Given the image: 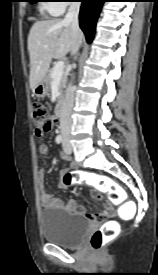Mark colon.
I'll list each match as a JSON object with an SVG mask.
<instances>
[{"label": "colon", "instance_id": "5ec220e1", "mask_svg": "<svg viewBox=\"0 0 158 275\" xmlns=\"http://www.w3.org/2000/svg\"><path fill=\"white\" fill-rule=\"evenodd\" d=\"M33 120L35 133L38 137L49 133L55 124V120L48 114L46 107L41 103L33 104ZM63 185H84L95 186L99 191L107 193L110 200L123 201L125 199L124 190L118 186L110 177L76 171L66 173L62 179ZM110 209L106 207L101 213L94 214L95 219H102L109 215ZM116 236V227L113 222H105L91 236L90 244L92 248L99 249L107 241Z\"/></svg>", "mask_w": 158, "mask_h": 275}]
</instances>
